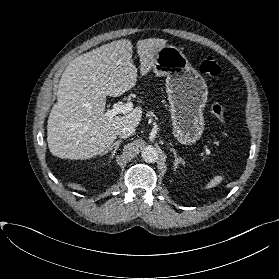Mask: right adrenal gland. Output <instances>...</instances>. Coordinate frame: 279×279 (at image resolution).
<instances>
[{
	"instance_id": "2a0ac1e0",
	"label": "right adrenal gland",
	"mask_w": 279,
	"mask_h": 279,
	"mask_svg": "<svg viewBox=\"0 0 279 279\" xmlns=\"http://www.w3.org/2000/svg\"><path fill=\"white\" fill-rule=\"evenodd\" d=\"M122 142V140H117L116 142H114L113 144H111L107 150L104 152V154H107L109 151H112L111 153V156H110V159H112L115 155V153L117 152L118 148H119V145L120 143Z\"/></svg>"
}]
</instances>
